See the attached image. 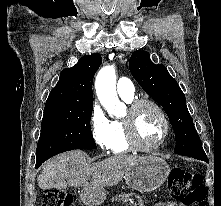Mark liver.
Here are the masks:
<instances>
[{"instance_id": "obj_1", "label": "liver", "mask_w": 221, "mask_h": 206, "mask_svg": "<svg viewBox=\"0 0 221 206\" xmlns=\"http://www.w3.org/2000/svg\"><path fill=\"white\" fill-rule=\"evenodd\" d=\"M136 156L116 155L88 164L86 153L73 150L62 153L47 161L37 178L41 189L56 187L54 180L63 181L62 187L70 186H113L140 160ZM92 179L89 184L88 180Z\"/></svg>"}]
</instances>
